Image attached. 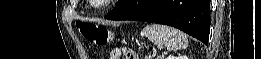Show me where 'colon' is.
Listing matches in <instances>:
<instances>
[{
	"instance_id": "5ec220e1",
	"label": "colon",
	"mask_w": 261,
	"mask_h": 59,
	"mask_svg": "<svg viewBox=\"0 0 261 59\" xmlns=\"http://www.w3.org/2000/svg\"><path fill=\"white\" fill-rule=\"evenodd\" d=\"M78 29L85 39L98 46H104L108 44L112 39L111 31L107 29L105 26L99 24L80 23L78 24ZM109 58L136 59L137 57L134 51L131 49L118 48L110 54Z\"/></svg>"
}]
</instances>
